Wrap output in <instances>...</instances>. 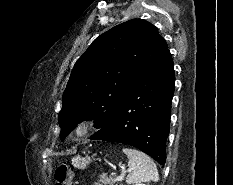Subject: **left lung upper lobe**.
Listing matches in <instances>:
<instances>
[{"label":"left lung upper lobe","instance_id":"left-lung-upper-lobe-1","mask_svg":"<svg viewBox=\"0 0 233 185\" xmlns=\"http://www.w3.org/2000/svg\"><path fill=\"white\" fill-rule=\"evenodd\" d=\"M167 49L158 29L142 19L96 38L75 63L64 91L61 139L83 120H95L97 129L111 122L136 82Z\"/></svg>","mask_w":233,"mask_h":185}]
</instances>
